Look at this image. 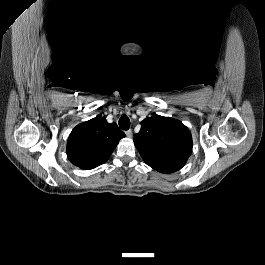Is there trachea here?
<instances>
[{"mask_svg": "<svg viewBox=\"0 0 265 265\" xmlns=\"http://www.w3.org/2000/svg\"><path fill=\"white\" fill-rule=\"evenodd\" d=\"M119 126L122 130H128L130 128V120L126 115H122L119 119Z\"/></svg>", "mask_w": 265, "mask_h": 265, "instance_id": "obj_1", "label": "trachea"}]
</instances>
